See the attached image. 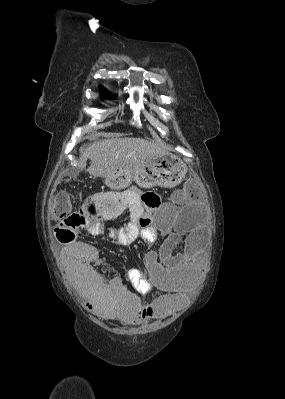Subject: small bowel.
Segmentation results:
<instances>
[{"label": "small bowel", "mask_w": 285, "mask_h": 399, "mask_svg": "<svg viewBox=\"0 0 285 399\" xmlns=\"http://www.w3.org/2000/svg\"><path fill=\"white\" fill-rule=\"evenodd\" d=\"M115 198L94 195L81 203L80 214L84 224L92 234L102 235L105 223L130 209L142 213L148 221L142 239L152 243L161 232L168 234L169 240L157 251L144 254V266L149 278L143 276L139 269L129 270V277L138 286L139 291H161L150 303H144L141 295L130 290L114 271L106 266L100 258L99 251L87 241L68 243L62 247V259L74 285L82 294L83 301L99 317L105 320H121L135 324L152 318H161L176 309L183 307L189 295L195 289L196 279L202 268L200 231L183 233L178 224L161 226L150 218L160 206L149 208L140 202L141 193L129 189L121 193H111ZM184 197L177 200L184 204ZM82 224L66 226L59 230L73 229L76 232ZM111 229V228H108ZM179 245L184 246V253L169 257ZM110 276L105 281L95 269Z\"/></svg>", "instance_id": "1"}]
</instances>
